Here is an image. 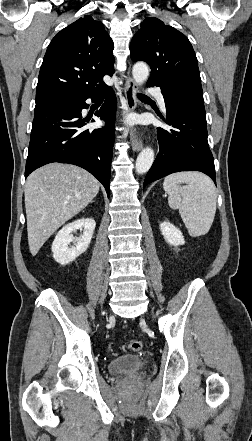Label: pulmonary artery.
<instances>
[{
  "instance_id": "obj_1",
  "label": "pulmonary artery",
  "mask_w": 252,
  "mask_h": 441,
  "mask_svg": "<svg viewBox=\"0 0 252 441\" xmlns=\"http://www.w3.org/2000/svg\"><path fill=\"white\" fill-rule=\"evenodd\" d=\"M147 93H149V94H151V95H154V96L157 98V100H158L159 105L161 106V108H162L163 110H165V101H164V97H163V95H162V93H161V91H160L159 89H157V88H148V89H147Z\"/></svg>"
}]
</instances>
